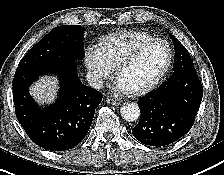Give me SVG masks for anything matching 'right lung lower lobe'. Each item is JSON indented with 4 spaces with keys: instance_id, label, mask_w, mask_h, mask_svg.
Returning a JSON list of instances; mask_svg holds the SVG:
<instances>
[{
    "instance_id": "obj_1",
    "label": "right lung lower lobe",
    "mask_w": 224,
    "mask_h": 175,
    "mask_svg": "<svg viewBox=\"0 0 224 175\" xmlns=\"http://www.w3.org/2000/svg\"><path fill=\"white\" fill-rule=\"evenodd\" d=\"M43 74L57 75L61 86L57 101L45 108L39 107L28 92L30 84ZM102 97L80 82L76 64L17 68L13 79L19 123L35 144L50 151L72 149L84 139Z\"/></svg>"
}]
</instances>
